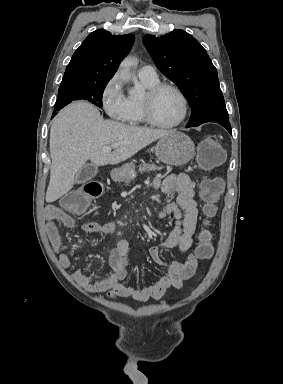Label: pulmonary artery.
<instances>
[{"mask_svg":"<svg viewBox=\"0 0 283 384\" xmlns=\"http://www.w3.org/2000/svg\"><path fill=\"white\" fill-rule=\"evenodd\" d=\"M137 75L139 78L149 81V82H155L158 80V75L153 67L149 65H145L140 67L137 70Z\"/></svg>","mask_w":283,"mask_h":384,"instance_id":"pulmonary-artery-1","label":"pulmonary artery"}]
</instances>
